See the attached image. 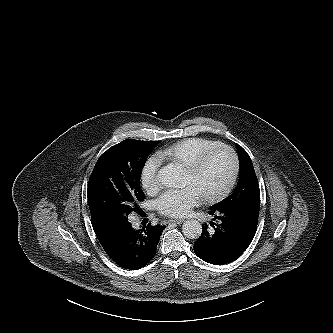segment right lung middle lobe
Returning <instances> with one entry per match:
<instances>
[{"label":"right lung middle lobe","instance_id":"obj_1","mask_svg":"<svg viewBox=\"0 0 333 333\" xmlns=\"http://www.w3.org/2000/svg\"><path fill=\"white\" fill-rule=\"evenodd\" d=\"M157 145V141L127 139L97 160L87 189L94 230L124 225L130 213L139 212L144 200L139 186L142 168Z\"/></svg>","mask_w":333,"mask_h":333}]
</instances>
